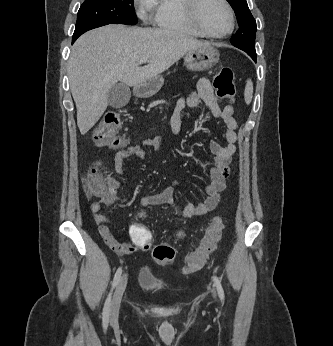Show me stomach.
Wrapping results in <instances>:
<instances>
[{"label":"stomach","mask_w":333,"mask_h":346,"mask_svg":"<svg viewBox=\"0 0 333 346\" xmlns=\"http://www.w3.org/2000/svg\"><path fill=\"white\" fill-rule=\"evenodd\" d=\"M185 65L192 71H204L212 68L219 61V53L212 46H204L188 52L185 56ZM164 78L155 76L134 87V94L138 98H149L155 95L163 86Z\"/></svg>","instance_id":"stomach-1"}]
</instances>
